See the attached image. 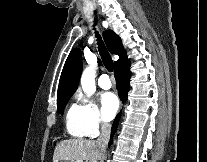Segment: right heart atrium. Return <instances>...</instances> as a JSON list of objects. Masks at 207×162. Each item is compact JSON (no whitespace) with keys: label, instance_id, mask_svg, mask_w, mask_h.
<instances>
[{"label":"right heart atrium","instance_id":"d8ad5b80","mask_svg":"<svg viewBox=\"0 0 207 162\" xmlns=\"http://www.w3.org/2000/svg\"><path fill=\"white\" fill-rule=\"evenodd\" d=\"M83 108L86 133L91 137L96 136L100 132V129L106 126L101 117L100 110L95 103L87 100L84 101Z\"/></svg>","mask_w":207,"mask_h":162}]
</instances>
